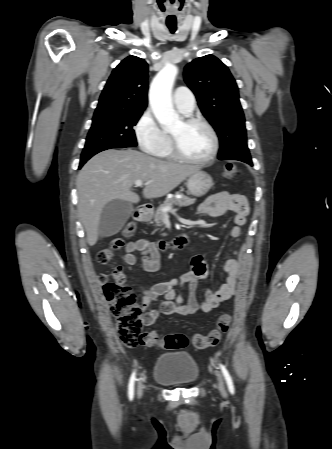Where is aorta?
Segmentation results:
<instances>
[{"label":"aorta","mask_w":332,"mask_h":449,"mask_svg":"<svg viewBox=\"0 0 332 449\" xmlns=\"http://www.w3.org/2000/svg\"><path fill=\"white\" fill-rule=\"evenodd\" d=\"M178 73L175 65H166L153 79L149 89V103L152 111L165 128H172L180 123L179 115L173 109L171 92Z\"/></svg>","instance_id":"obj_1"}]
</instances>
